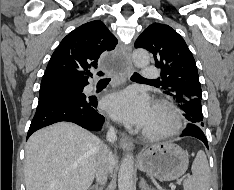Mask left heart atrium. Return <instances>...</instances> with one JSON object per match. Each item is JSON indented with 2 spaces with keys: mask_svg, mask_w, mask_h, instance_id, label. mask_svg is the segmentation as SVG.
Wrapping results in <instances>:
<instances>
[{
  "mask_svg": "<svg viewBox=\"0 0 234 190\" xmlns=\"http://www.w3.org/2000/svg\"><path fill=\"white\" fill-rule=\"evenodd\" d=\"M104 107L115 120L137 127H146L154 111L150 99L134 89L107 96Z\"/></svg>",
  "mask_w": 234,
  "mask_h": 190,
  "instance_id": "obj_1",
  "label": "left heart atrium"
}]
</instances>
